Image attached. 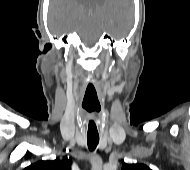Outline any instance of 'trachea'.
Segmentation results:
<instances>
[{"label":"trachea","mask_w":190,"mask_h":170,"mask_svg":"<svg viewBox=\"0 0 190 170\" xmlns=\"http://www.w3.org/2000/svg\"><path fill=\"white\" fill-rule=\"evenodd\" d=\"M98 143H99V136H95V135H88L87 136L88 148L91 151H94L96 149Z\"/></svg>","instance_id":"obj_1"}]
</instances>
